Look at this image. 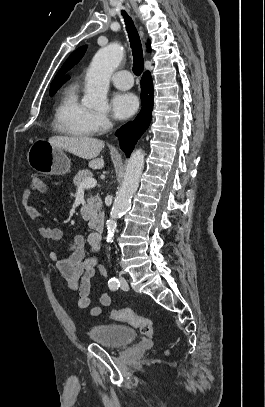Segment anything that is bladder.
<instances>
[{
	"label": "bladder",
	"mask_w": 265,
	"mask_h": 407,
	"mask_svg": "<svg viewBox=\"0 0 265 407\" xmlns=\"http://www.w3.org/2000/svg\"><path fill=\"white\" fill-rule=\"evenodd\" d=\"M90 338L98 344L117 348L130 345L137 338L136 331L128 326L118 324H98L88 329Z\"/></svg>",
	"instance_id": "bladder-1"
}]
</instances>
